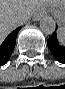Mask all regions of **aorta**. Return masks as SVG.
I'll list each match as a JSON object with an SVG mask.
<instances>
[{"label": "aorta", "instance_id": "aorta-1", "mask_svg": "<svg viewBox=\"0 0 65 89\" xmlns=\"http://www.w3.org/2000/svg\"><path fill=\"white\" fill-rule=\"evenodd\" d=\"M40 29L46 34H52L55 31V20L49 15H43L39 22Z\"/></svg>", "mask_w": 65, "mask_h": 89}]
</instances>
